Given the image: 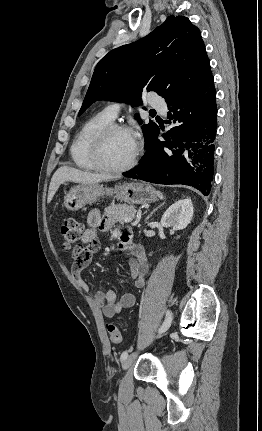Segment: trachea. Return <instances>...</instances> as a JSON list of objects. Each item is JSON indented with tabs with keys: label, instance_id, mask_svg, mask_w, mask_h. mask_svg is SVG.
Segmentation results:
<instances>
[{
	"label": "trachea",
	"instance_id": "trachea-1",
	"mask_svg": "<svg viewBox=\"0 0 262 431\" xmlns=\"http://www.w3.org/2000/svg\"><path fill=\"white\" fill-rule=\"evenodd\" d=\"M150 114H156L155 110H150Z\"/></svg>",
	"mask_w": 262,
	"mask_h": 431
}]
</instances>
